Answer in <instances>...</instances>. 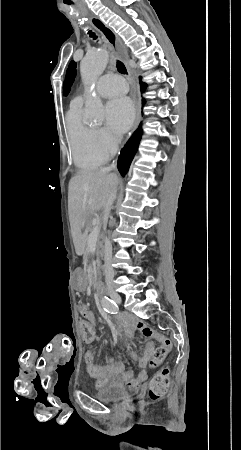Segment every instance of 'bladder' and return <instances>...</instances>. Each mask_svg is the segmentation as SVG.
Returning a JSON list of instances; mask_svg holds the SVG:
<instances>
[{"instance_id": "31cf9c89", "label": "bladder", "mask_w": 241, "mask_h": 450, "mask_svg": "<svg viewBox=\"0 0 241 450\" xmlns=\"http://www.w3.org/2000/svg\"><path fill=\"white\" fill-rule=\"evenodd\" d=\"M125 395V387L116 383L109 384L106 388L100 389L96 392V396L104 401L119 400Z\"/></svg>"}]
</instances>
